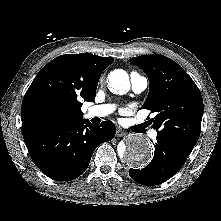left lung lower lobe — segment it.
<instances>
[{
	"label": "left lung lower lobe",
	"mask_w": 221,
	"mask_h": 221,
	"mask_svg": "<svg viewBox=\"0 0 221 221\" xmlns=\"http://www.w3.org/2000/svg\"><path fill=\"white\" fill-rule=\"evenodd\" d=\"M154 157L141 170L129 169L130 177L142 185H158L180 170L194 146L167 136L157 135ZM153 142V141H152Z\"/></svg>",
	"instance_id": "0a47b994"
}]
</instances>
